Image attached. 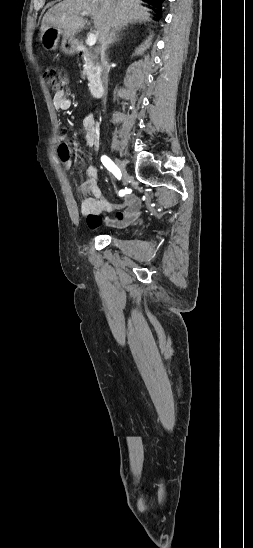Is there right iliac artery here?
Here are the masks:
<instances>
[{
  "label": "right iliac artery",
  "mask_w": 253,
  "mask_h": 548,
  "mask_svg": "<svg viewBox=\"0 0 253 548\" xmlns=\"http://www.w3.org/2000/svg\"><path fill=\"white\" fill-rule=\"evenodd\" d=\"M101 162L115 177H117L118 179L121 178V172L119 168L110 160V158L104 155L101 157ZM124 195H125V191L120 190L119 196H124Z\"/></svg>",
  "instance_id": "1"
}]
</instances>
